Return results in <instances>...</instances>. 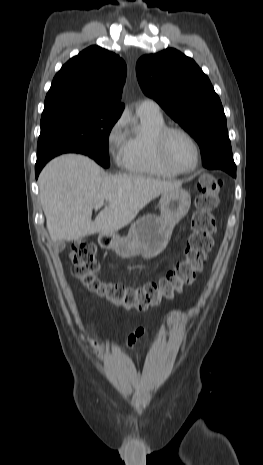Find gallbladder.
Returning <instances> with one entry per match:
<instances>
[{
	"label": "gallbladder",
	"instance_id": "gallbladder-1",
	"mask_svg": "<svg viewBox=\"0 0 263 465\" xmlns=\"http://www.w3.org/2000/svg\"><path fill=\"white\" fill-rule=\"evenodd\" d=\"M65 248V243L63 241H58L54 243V249L58 252L63 251Z\"/></svg>",
	"mask_w": 263,
	"mask_h": 465
}]
</instances>
